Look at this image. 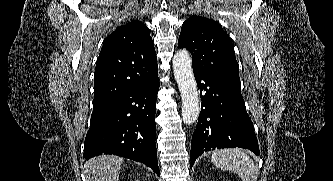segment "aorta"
I'll return each instance as SVG.
<instances>
[{"label": "aorta", "mask_w": 333, "mask_h": 181, "mask_svg": "<svg viewBox=\"0 0 333 181\" xmlns=\"http://www.w3.org/2000/svg\"><path fill=\"white\" fill-rule=\"evenodd\" d=\"M174 76L181 94L182 120L190 125L200 113L197 84L193 75L191 56L186 50H179L173 57Z\"/></svg>", "instance_id": "762f6f07"}]
</instances>
